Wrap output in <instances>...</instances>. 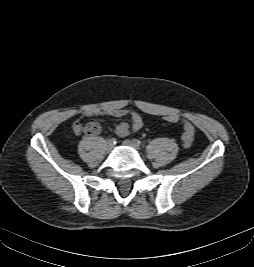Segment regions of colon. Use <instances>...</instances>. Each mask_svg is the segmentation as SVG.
<instances>
[{"mask_svg": "<svg viewBox=\"0 0 254 267\" xmlns=\"http://www.w3.org/2000/svg\"><path fill=\"white\" fill-rule=\"evenodd\" d=\"M165 120L170 123H181L183 126V134H182V142L185 147H190L193 143L194 136H195V128L194 126L186 121L183 120L177 114H169L165 117Z\"/></svg>", "mask_w": 254, "mask_h": 267, "instance_id": "1", "label": "colon"}]
</instances>
